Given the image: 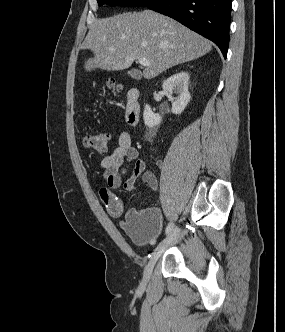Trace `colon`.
<instances>
[{
  "instance_id": "colon-1",
  "label": "colon",
  "mask_w": 285,
  "mask_h": 332,
  "mask_svg": "<svg viewBox=\"0 0 285 332\" xmlns=\"http://www.w3.org/2000/svg\"><path fill=\"white\" fill-rule=\"evenodd\" d=\"M107 87L113 92L121 91V86L114 81H109ZM109 142V135L106 132L89 133L84 137V144L87 148L99 153L106 151Z\"/></svg>"
}]
</instances>
